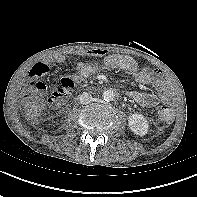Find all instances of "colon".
Wrapping results in <instances>:
<instances>
[{
  "label": "colon",
  "mask_w": 197,
  "mask_h": 197,
  "mask_svg": "<svg viewBox=\"0 0 197 197\" xmlns=\"http://www.w3.org/2000/svg\"><path fill=\"white\" fill-rule=\"evenodd\" d=\"M74 80L71 78H63L59 86L53 92L49 99V103L53 106L60 105L67 94L74 88ZM31 90L26 94L23 100V109L26 115L30 118H36L41 112L43 106V96L46 91V85L41 82H33ZM158 115L163 122H170L174 117V110L172 107L164 105L159 108Z\"/></svg>",
  "instance_id": "1"
}]
</instances>
